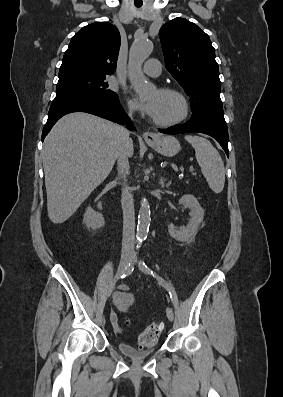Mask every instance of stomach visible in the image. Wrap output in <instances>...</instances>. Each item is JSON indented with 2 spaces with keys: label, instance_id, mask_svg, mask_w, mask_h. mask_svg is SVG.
Segmentation results:
<instances>
[{
  "label": "stomach",
  "instance_id": "0dacf381",
  "mask_svg": "<svg viewBox=\"0 0 283 397\" xmlns=\"http://www.w3.org/2000/svg\"><path fill=\"white\" fill-rule=\"evenodd\" d=\"M147 144L166 157L175 156L180 151V143L173 136L156 135L152 140H147Z\"/></svg>",
  "mask_w": 283,
  "mask_h": 397
}]
</instances>
